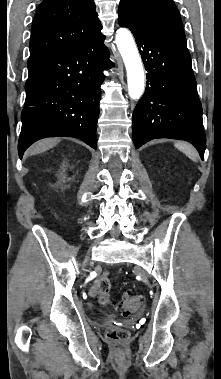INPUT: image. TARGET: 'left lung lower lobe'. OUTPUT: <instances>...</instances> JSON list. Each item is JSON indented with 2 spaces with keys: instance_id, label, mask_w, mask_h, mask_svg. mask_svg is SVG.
I'll list each match as a JSON object with an SVG mask.
<instances>
[{
  "instance_id": "left-lung-lower-lobe-1",
  "label": "left lung lower lobe",
  "mask_w": 221,
  "mask_h": 379,
  "mask_svg": "<svg viewBox=\"0 0 221 379\" xmlns=\"http://www.w3.org/2000/svg\"><path fill=\"white\" fill-rule=\"evenodd\" d=\"M118 22L132 31L148 71L145 93L133 112L135 146L156 138L181 139L203 159L202 107L186 41L147 29L125 9H118Z\"/></svg>"
}]
</instances>
